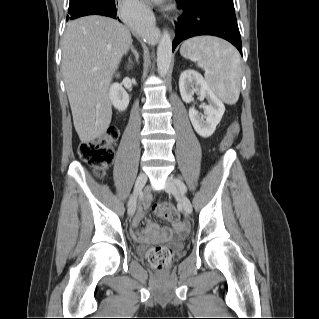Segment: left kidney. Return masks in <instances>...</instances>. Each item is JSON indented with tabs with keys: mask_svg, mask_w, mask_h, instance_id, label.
<instances>
[{
	"mask_svg": "<svg viewBox=\"0 0 319 319\" xmlns=\"http://www.w3.org/2000/svg\"><path fill=\"white\" fill-rule=\"evenodd\" d=\"M179 89L181 97L186 103H190L193 100L195 92H198L201 98L207 97L209 99V105L203 106L204 117L194 107H191L189 109V118L195 131L200 136L204 138L210 137L225 112L224 104L209 88L202 75L195 70L188 69L181 73Z\"/></svg>",
	"mask_w": 319,
	"mask_h": 319,
	"instance_id": "obj_1",
	"label": "left kidney"
}]
</instances>
